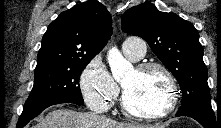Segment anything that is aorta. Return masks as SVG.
<instances>
[{"instance_id":"aorta-1","label":"aorta","mask_w":221,"mask_h":128,"mask_svg":"<svg viewBox=\"0 0 221 128\" xmlns=\"http://www.w3.org/2000/svg\"><path fill=\"white\" fill-rule=\"evenodd\" d=\"M107 60L116 81H120L126 73L133 70L132 64L123 57L117 47L108 50Z\"/></svg>"}]
</instances>
